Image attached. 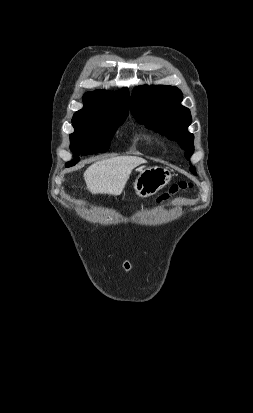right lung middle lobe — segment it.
Here are the masks:
<instances>
[{
    "label": "right lung middle lobe",
    "mask_w": 253,
    "mask_h": 413,
    "mask_svg": "<svg viewBox=\"0 0 253 413\" xmlns=\"http://www.w3.org/2000/svg\"><path fill=\"white\" fill-rule=\"evenodd\" d=\"M127 115L94 122L73 123L75 132L70 134V148L74 152V159L66 163V167L75 165L79 156L106 152L115 131L123 124Z\"/></svg>",
    "instance_id": "right-lung-middle-lobe-1"
}]
</instances>
